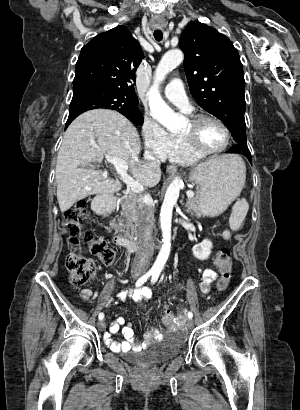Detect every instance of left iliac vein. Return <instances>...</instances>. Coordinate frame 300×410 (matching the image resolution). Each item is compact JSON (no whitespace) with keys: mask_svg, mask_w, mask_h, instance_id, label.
Masks as SVG:
<instances>
[{"mask_svg":"<svg viewBox=\"0 0 300 410\" xmlns=\"http://www.w3.org/2000/svg\"><path fill=\"white\" fill-rule=\"evenodd\" d=\"M186 325L188 327H192L193 326V321L189 318V319H185Z\"/></svg>","mask_w":300,"mask_h":410,"instance_id":"left-iliac-vein-1","label":"left iliac vein"}]
</instances>
